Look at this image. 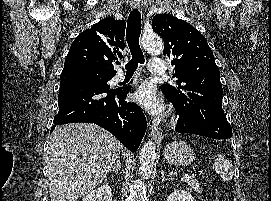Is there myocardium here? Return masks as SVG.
Returning <instances> with one entry per match:
<instances>
[{"instance_id":"myocardium-1","label":"myocardium","mask_w":271,"mask_h":201,"mask_svg":"<svg viewBox=\"0 0 271 201\" xmlns=\"http://www.w3.org/2000/svg\"><path fill=\"white\" fill-rule=\"evenodd\" d=\"M180 121V115L178 113H174L171 118L172 124H177Z\"/></svg>"}]
</instances>
